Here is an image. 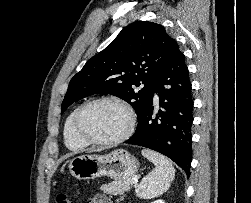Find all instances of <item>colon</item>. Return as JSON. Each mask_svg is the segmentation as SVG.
<instances>
[{"instance_id":"colon-1","label":"colon","mask_w":251,"mask_h":203,"mask_svg":"<svg viewBox=\"0 0 251 203\" xmlns=\"http://www.w3.org/2000/svg\"><path fill=\"white\" fill-rule=\"evenodd\" d=\"M55 203H73L65 193H59L56 196Z\"/></svg>"}]
</instances>
